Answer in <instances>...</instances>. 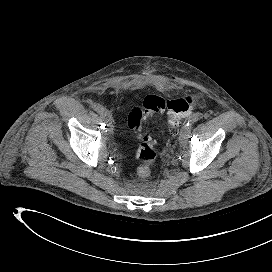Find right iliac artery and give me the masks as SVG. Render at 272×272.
Wrapping results in <instances>:
<instances>
[{
    "label": "right iliac artery",
    "mask_w": 272,
    "mask_h": 272,
    "mask_svg": "<svg viewBox=\"0 0 272 272\" xmlns=\"http://www.w3.org/2000/svg\"><path fill=\"white\" fill-rule=\"evenodd\" d=\"M92 108L94 111L98 112V113H102L104 111V107L98 103H94L92 105Z\"/></svg>",
    "instance_id": "1"
}]
</instances>
